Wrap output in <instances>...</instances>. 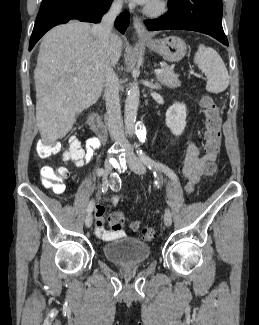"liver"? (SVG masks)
<instances>
[{
    "label": "liver",
    "instance_id": "obj_1",
    "mask_svg": "<svg viewBox=\"0 0 259 325\" xmlns=\"http://www.w3.org/2000/svg\"><path fill=\"white\" fill-rule=\"evenodd\" d=\"M100 49L98 35L89 23L70 21L44 35L34 70L36 121L44 143L65 137L78 114L101 96L105 77ZM121 49L122 40L112 34L110 65L118 63Z\"/></svg>",
    "mask_w": 259,
    "mask_h": 325
}]
</instances>
